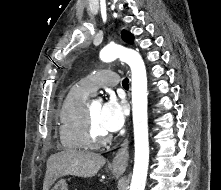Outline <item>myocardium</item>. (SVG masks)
<instances>
[{"label": "myocardium", "instance_id": "f54148a6", "mask_svg": "<svg viewBox=\"0 0 221 190\" xmlns=\"http://www.w3.org/2000/svg\"><path fill=\"white\" fill-rule=\"evenodd\" d=\"M84 137L88 147L97 148L106 145L111 136L109 134L98 135L94 130L88 108L84 110Z\"/></svg>", "mask_w": 221, "mask_h": 190}]
</instances>
